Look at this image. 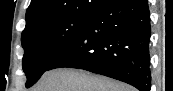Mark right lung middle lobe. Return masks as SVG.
<instances>
[{
    "instance_id": "dd1d6c3e",
    "label": "right lung middle lobe",
    "mask_w": 173,
    "mask_h": 91,
    "mask_svg": "<svg viewBox=\"0 0 173 91\" xmlns=\"http://www.w3.org/2000/svg\"><path fill=\"white\" fill-rule=\"evenodd\" d=\"M93 15L94 12L67 15L24 29L22 66L27 76L26 87L32 86L41 77L52 61L82 32Z\"/></svg>"
}]
</instances>
